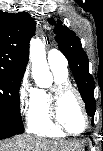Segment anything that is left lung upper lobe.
<instances>
[{"label":"left lung upper lobe","mask_w":103,"mask_h":151,"mask_svg":"<svg viewBox=\"0 0 103 151\" xmlns=\"http://www.w3.org/2000/svg\"><path fill=\"white\" fill-rule=\"evenodd\" d=\"M48 21L50 24H55V40L58 43V48L68 59L70 69L85 102L86 111L88 115L94 116L96 110V101L94 99L95 82L89 73L88 57L82 49L80 39L72 30L62 25L61 21L55 22L53 18L48 19Z\"/></svg>","instance_id":"left-lung-upper-lobe-1"}]
</instances>
